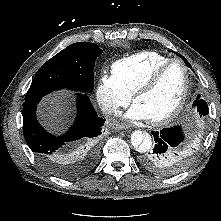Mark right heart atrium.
<instances>
[{
  "instance_id": "obj_1",
  "label": "right heart atrium",
  "mask_w": 221,
  "mask_h": 221,
  "mask_svg": "<svg viewBox=\"0 0 221 221\" xmlns=\"http://www.w3.org/2000/svg\"><path fill=\"white\" fill-rule=\"evenodd\" d=\"M96 98L105 113L115 114L130 102L131 95L121 86L113 74L101 72L96 88Z\"/></svg>"
}]
</instances>
